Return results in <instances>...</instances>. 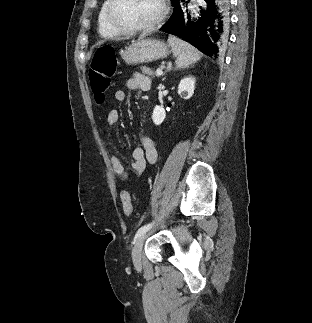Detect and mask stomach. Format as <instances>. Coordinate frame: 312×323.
I'll return each mask as SVG.
<instances>
[{"label":"stomach","mask_w":312,"mask_h":323,"mask_svg":"<svg viewBox=\"0 0 312 323\" xmlns=\"http://www.w3.org/2000/svg\"><path fill=\"white\" fill-rule=\"evenodd\" d=\"M125 64L134 66V64H146L154 62L160 58H167L169 54L168 46L159 40H150V38H139L137 42L130 44L128 48L120 52Z\"/></svg>","instance_id":"1"}]
</instances>
